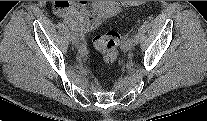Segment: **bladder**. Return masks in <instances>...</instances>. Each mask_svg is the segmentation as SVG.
Here are the masks:
<instances>
[{
  "label": "bladder",
  "mask_w": 207,
  "mask_h": 121,
  "mask_svg": "<svg viewBox=\"0 0 207 121\" xmlns=\"http://www.w3.org/2000/svg\"><path fill=\"white\" fill-rule=\"evenodd\" d=\"M119 10V4L115 1H102L95 6L98 18L107 19L114 16Z\"/></svg>",
  "instance_id": "bladder-1"
}]
</instances>
